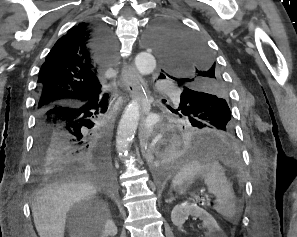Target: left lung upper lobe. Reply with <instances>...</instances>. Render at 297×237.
Instances as JSON below:
<instances>
[{
    "mask_svg": "<svg viewBox=\"0 0 297 237\" xmlns=\"http://www.w3.org/2000/svg\"><path fill=\"white\" fill-rule=\"evenodd\" d=\"M148 40L163 62L161 76L175 80L183 90L181 111L198 121L218 117L227 129L233 130L227 90L205 42L168 21L156 22Z\"/></svg>",
    "mask_w": 297,
    "mask_h": 237,
    "instance_id": "1",
    "label": "left lung upper lobe"
}]
</instances>
